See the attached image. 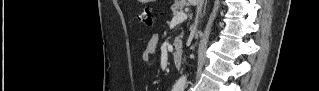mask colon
Instances as JSON below:
<instances>
[{
    "label": "colon",
    "mask_w": 319,
    "mask_h": 91,
    "mask_svg": "<svg viewBox=\"0 0 319 91\" xmlns=\"http://www.w3.org/2000/svg\"><path fill=\"white\" fill-rule=\"evenodd\" d=\"M139 19L142 24L147 27H151L153 25V17H152V10L150 8H144L139 13Z\"/></svg>",
    "instance_id": "obj_1"
}]
</instances>
